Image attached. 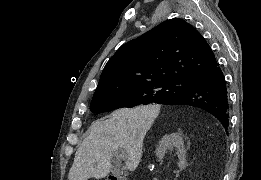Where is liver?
Segmentation results:
<instances>
[{
  "mask_svg": "<svg viewBox=\"0 0 261 180\" xmlns=\"http://www.w3.org/2000/svg\"><path fill=\"white\" fill-rule=\"evenodd\" d=\"M159 114V106L121 108L106 118L93 122L79 146L68 180H101L127 154L126 168L134 172L142 158L143 140Z\"/></svg>",
  "mask_w": 261,
  "mask_h": 180,
  "instance_id": "6515ba94",
  "label": "liver"
}]
</instances>
